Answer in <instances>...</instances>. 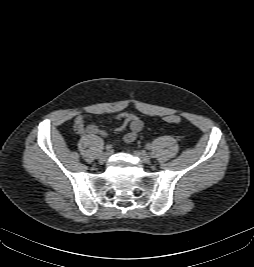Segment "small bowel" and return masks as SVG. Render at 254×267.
Here are the masks:
<instances>
[{
  "instance_id": "c3829d8e",
  "label": "small bowel",
  "mask_w": 254,
  "mask_h": 267,
  "mask_svg": "<svg viewBox=\"0 0 254 267\" xmlns=\"http://www.w3.org/2000/svg\"><path fill=\"white\" fill-rule=\"evenodd\" d=\"M117 118L121 121L117 128L118 131L124 130L127 126L129 127V131L123 136L124 141L127 143L135 141L143 128L142 120L138 116L128 112L118 114ZM84 120V114H78L74 119V129L78 134L101 137L107 136V132L95 124L85 126Z\"/></svg>"
}]
</instances>
